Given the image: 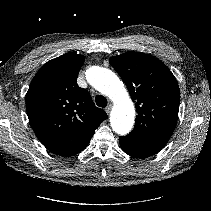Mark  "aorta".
Returning <instances> with one entry per match:
<instances>
[{
	"label": "aorta",
	"mask_w": 211,
	"mask_h": 211,
	"mask_svg": "<svg viewBox=\"0 0 211 211\" xmlns=\"http://www.w3.org/2000/svg\"><path fill=\"white\" fill-rule=\"evenodd\" d=\"M86 77L92 86L115 102L110 117L112 129L119 135L128 134L134 124L135 107L123 82L111 70L98 66L91 67Z\"/></svg>",
	"instance_id": "1"
}]
</instances>
